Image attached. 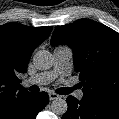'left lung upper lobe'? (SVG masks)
Instances as JSON below:
<instances>
[{
    "mask_svg": "<svg viewBox=\"0 0 119 119\" xmlns=\"http://www.w3.org/2000/svg\"><path fill=\"white\" fill-rule=\"evenodd\" d=\"M52 46L66 44L73 50L84 96L119 105V34L89 19L55 29Z\"/></svg>",
    "mask_w": 119,
    "mask_h": 119,
    "instance_id": "left-lung-upper-lobe-1",
    "label": "left lung upper lobe"
}]
</instances>
